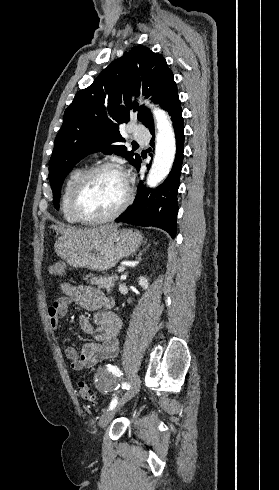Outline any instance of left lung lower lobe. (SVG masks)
Segmentation results:
<instances>
[{
  "instance_id": "1",
  "label": "left lung lower lobe",
  "mask_w": 279,
  "mask_h": 490,
  "mask_svg": "<svg viewBox=\"0 0 279 490\" xmlns=\"http://www.w3.org/2000/svg\"><path fill=\"white\" fill-rule=\"evenodd\" d=\"M173 121L177 141L175 161L168 177L155 190H150L139 184L138 193L130 206L115 221L138 226H154L167 231L172 238L176 236V217L178 212L177 194L183 163L184 125L179 97L171 102L166 109ZM154 140V123L148 126ZM140 161L136 164L140 168Z\"/></svg>"
}]
</instances>
